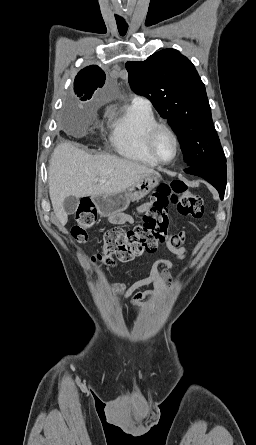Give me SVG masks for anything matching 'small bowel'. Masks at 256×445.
I'll list each match as a JSON object with an SVG mask.
<instances>
[{
  "instance_id": "c3829d8e",
  "label": "small bowel",
  "mask_w": 256,
  "mask_h": 445,
  "mask_svg": "<svg viewBox=\"0 0 256 445\" xmlns=\"http://www.w3.org/2000/svg\"><path fill=\"white\" fill-rule=\"evenodd\" d=\"M150 204L146 203L139 207V211L146 210ZM131 221H127L130 223ZM187 239V234L183 231L171 233L168 237L167 247L174 254L173 259H161L154 263L147 277L137 280L130 284L119 283L113 286L116 293L124 298H128L136 289L153 286L148 292L136 293L132 299L125 305L127 312L140 310L144 306L143 300L149 294L162 295L167 292L172 285L171 268L178 261H183L187 257V250L183 243Z\"/></svg>"
}]
</instances>
